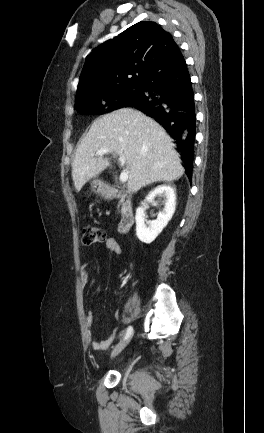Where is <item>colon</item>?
<instances>
[{
  "label": "colon",
  "instance_id": "5ec220e1",
  "mask_svg": "<svg viewBox=\"0 0 264 433\" xmlns=\"http://www.w3.org/2000/svg\"><path fill=\"white\" fill-rule=\"evenodd\" d=\"M106 240L105 232L98 227L90 226L83 230L82 244L84 246H91L98 243H102Z\"/></svg>",
  "mask_w": 264,
  "mask_h": 433
}]
</instances>
